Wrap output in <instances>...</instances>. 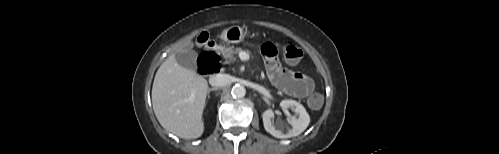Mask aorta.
<instances>
[{
  "label": "aorta",
  "instance_id": "1",
  "mask_svg": "<svg viewBox=\"0 0 499 154\" xmlns=\"http://www.w3.org/2000/svg\"><path fill=\"white\" fill-rule=\"evenodd\" d=\"M231 94L233 97L235 98H242L245 96L246 94V89L244 86L242 85H235L233 88H232V91H231Z\"/></svg>",
  "mask_w": 499,
  "mask_h": 154
}]
</instances>
